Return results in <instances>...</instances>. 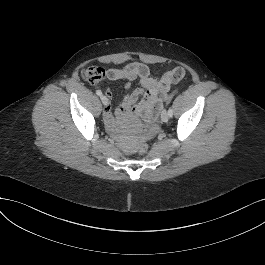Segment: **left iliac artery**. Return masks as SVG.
<instances>
[{"mask_svg":"<svg viewBox=\"0 0 265 265\" xmlns=\"http://www.w3.org/2000/svg\"><path fill=\"white\" fill-rule=\"evenodd\" d=\"M168 114H169V117H172L173 116V110H172L171 107L168 109Z\"/></svg>","mask_w":265,"mask_h":265,"instance_id":"left-iliac-artery-1","label":"left iliac artery"}]
</instances>
